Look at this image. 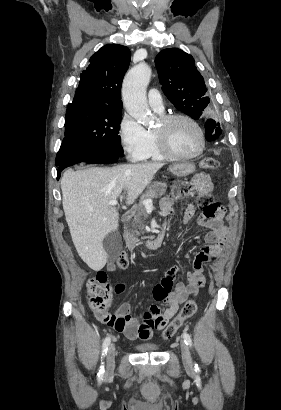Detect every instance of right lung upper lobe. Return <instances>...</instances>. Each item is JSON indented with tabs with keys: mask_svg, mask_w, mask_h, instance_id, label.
<instances>
[{
	"mask_svg": "<svg viewBox=\"0 0 281 410\" xmlns=\"http://www.w3.org/2000/svg\"><path fill=\"white\" fill-rule=\"evenodd\" d=\"M126 46L111 44L99 49L80 76L72 105L121 109V85L130 63Z\"/></svg>",
	"mask_w": 281,
	"mask_h": 410,
	"instance_id": "obj_1",
	"label": "right lung upper lobe"
}]
</instances>
